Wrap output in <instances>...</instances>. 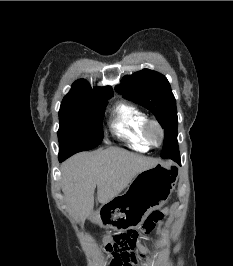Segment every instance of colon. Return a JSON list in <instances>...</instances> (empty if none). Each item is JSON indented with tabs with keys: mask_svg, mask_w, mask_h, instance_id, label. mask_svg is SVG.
Returning a JSON list of instances; mask_svg holds the SVG:
<instances>
[{
	"mask_svg": "<svg viewBox=\"0 0 233 266\" xmlns=\"http://www.w3.org/2000/svg\"><path fill=\"white\" fill-rule=\"evenodd\" d=\"M164 214L161 211L151 212L142 224V231L150 233L163 221ZM137 231L116 232L110 234L106 239L109 241L105 245L107 254L111 257V266L119 264L121 266H133L140 255L136 251Z\"/></svg>",
	"mask_w": 233,
	"mask_h": 266,
	"instance_id": "colon-1",
	"label": "colon"
}]
</instances>
